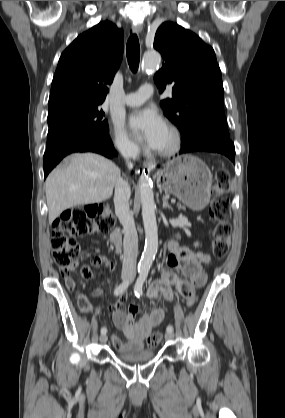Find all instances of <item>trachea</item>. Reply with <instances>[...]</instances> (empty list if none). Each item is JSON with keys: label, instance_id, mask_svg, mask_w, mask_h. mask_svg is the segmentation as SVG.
<instances>
[{"label": "trachea", "instance_id": "1", "mask_svg": "<svg viewBox=\"0 0 285 418\" xmlns=\"http://www.w3.org/2000/svg\"><path fill=\"white\" fill-rule=\"evenodd\" d=\"M127 60L132 72H136L140 61V46L136 34L131 35L126 45Z\"/></svg>", "mask_w": 285, "mask_h": 418}]
</instances>
